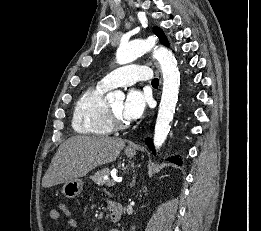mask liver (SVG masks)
Segmentation results:
<instances>
[{"mask_svg": "<svg viewBox=\"0 0 261 231\" xmlns=\"http://www.w3.org/2000/svg\"><path fill=\"white\" fill-rule=\"evenodd\" d=\"M125 141L108 136H73L58 148L42 186L49 188L85 176L93 168L113 162Z\"/></svg>", "mask_w": 261, "mask_h": 231, "instance_id": "obj_1", "label": "liver"}]
</instances>
